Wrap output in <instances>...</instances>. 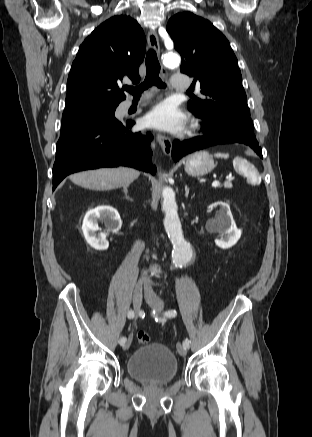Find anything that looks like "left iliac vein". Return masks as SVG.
I'll return each mask as SVG.
<instances>
[{
	"label": "left iliac vein",
	"instance_id": "obj_1",
	"mask_svg": "<svg viewBox=\"0 0 312 437\" xmlns=\"http://www.w3.org/2000/svg\"><path fill=\"white\" fill-rule=\"evenodd\" d=\"M145 299L147 301V303L157 312L162 311L163 309V303L160 300V298L152 291L150 290H146L145 293ZM177 351L181 356H186L187 354V348L181 344L178 343L177 344Z\"/></svg>",
	"mask_w": 312,
	"mask_h": 437
}]
</instances>
